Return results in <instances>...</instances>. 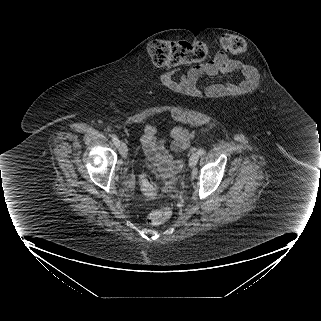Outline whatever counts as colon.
Instances as JSON below:
<instances>
[{
	"label": "colon",
	"instance_id": "1",
	"mask_svg": "<svg viewBox=\"0 0 321 321\" xmlns=\"http://www.w3.org/2000/svg\"><path fill=\"white\" fill-rule=\"evenodd\" d=\"M215 44L228 53H242L246 49L245 41L236 35H223L215 41ZM211 48V44L206 42L156 40L150 43L148 54L155 66L174 68L205 61L210 57ZM141 184L147 196L155 194V187L147 177H141ZM170 215L169 208L152 212L147 216V223L152 226L160 225Z\"/></svg>",
	"mask_w": 321,
	"mask_h": 321
}]
</instances>
